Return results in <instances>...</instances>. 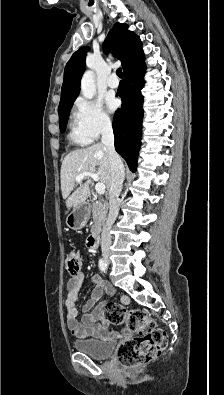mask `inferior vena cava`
<instances>
[{
    "instance_id": "602c4592",
    "label": "inferior vena cava",
    "mask_w": 224,
    "mask_h": 395,
    "mask_svg": "<svg viewBox=\"0 0 224 395\" xmlns=\"http://www.w3.org/2000/svg\"><path fill=\"white\" fill-rule=\"evenodd\" d=\"M102 144L107 148L109 162L111 167V184L109 188V213L106 224L101 235V250L106 254L111 246V228L119 213V196L122 191V185L125 177V170L123 162L115 151L114 134L112 123L110 120H105L102 123Z\"/></svg>"
}]
</instances>
